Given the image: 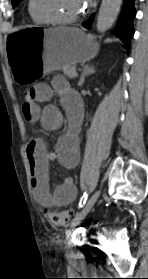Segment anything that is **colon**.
<instances>
[{
	"instance_id": "colon-1",
	"label": "colon",
	"mask_w": 148,
	"mask_h": 279,
	"mask_svg": "<svg viewBox=\"0 0 148 279\" xmlns=\"http://www.w3.org/2000/svg\"><path fill=\"white\" fill-rule=\"evenodd\" d=\"M24 99L25 103L30 104L34 100V91L33 87L28 88L24 92ZM72 212L69 210H54V209H47L45 211V217L47 220L55 225H61L66 223L71 217H72Z\"/></svg>"
}]
</instances>
